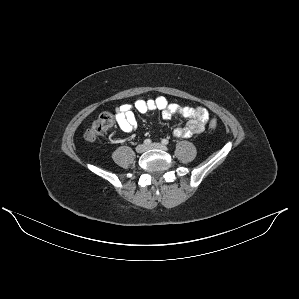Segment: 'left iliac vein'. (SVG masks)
<instances>
[{"label": "left iliac vein", "instance_id": "1", "mask_svg": "<svg viewBox=\"0 0 299 299\" xmlns=\"http://www.w3.org/2000/svg\"><path fill=\"white\" fill-rule=\"evenodd\" d=\"M147 149H160V150H163V151H167L168 148L161 144V143H152L150 145L147 146Z\"/></svg>", "mask_w": 299, "mask_h": 299}]
</instances>
